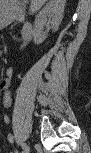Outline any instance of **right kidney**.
<instances>
[{"instance_id": "ca27d5eb", "label": "right kidney", "mask_w": 91, "mask_h": 153, "mask_svg": "<svg viewBox=\"0 0 91 153\" xmlns=\"http://www.w3.org/2000/svg\"><path fill=\"white\" fill-rule=\"evenodd\" d=\"M65 7V0H50L48 4L39 12L35 18L33 39L36 44H41L47 33L43 32L46 24L56 31L62 21Z\"/></svg>"}]
</instances>
